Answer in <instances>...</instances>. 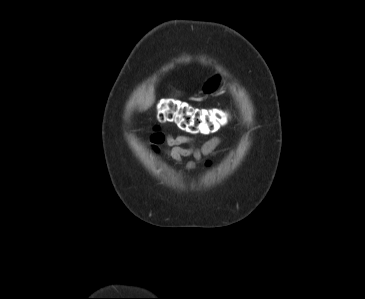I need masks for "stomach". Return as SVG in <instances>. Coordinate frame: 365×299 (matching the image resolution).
Masks as SVG:
<instances>
[{
    "mask_svg": "<svg viewBox=\"0 0 365 299\" xmlns=\"http://www.w3.org/2000/svg\"><path fill=\"white\" fill-rule=\"evenodd\" d=\"M223 75L221 72H216L208 76L200 87V93L203 96H209L217 94L222 87Z\"/></svg>",
    "mask_w": 365,
    "mask_h": 299,
    "instance_id": "obj_1",
    "label": "stomach"
}]
</instances>
